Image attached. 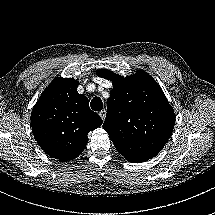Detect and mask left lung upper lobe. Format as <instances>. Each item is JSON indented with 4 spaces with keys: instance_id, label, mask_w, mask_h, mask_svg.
I'll return each mask as SVG.
<instances>
[{
    "instance_id": "5c2ea615",
    "label": "left lung upper lobe",
    "mask_w": 215,
    "mask_h": 215,
    "mask_svg": "<svg viewBox=\"0 0 215 215\" xmlns=\"http://www.w3.org/2000/svg\"><path fill=\"white\" fill-rule=\"evenodd\" d=\"M96 74L113 83L103 128L116 149L133 163L155 157L175 124L174 110L160 86L143 70L125 78L107 69Z\"/></svg>"
}]
</instances>
